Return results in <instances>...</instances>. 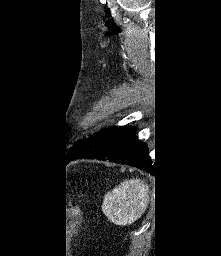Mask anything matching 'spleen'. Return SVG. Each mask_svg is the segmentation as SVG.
<instances>
[{
    "instance_id": "obj_1",
    "label": "spleen",
    "mask_w": 221,
    "mask_h": 256,
    "mask_svg": "<svg viewBox=\"0 0 221 256\" xmlns=\"http://www.w3.org/2000/svg\"><path fill=\"white\" fill-rule=\"evenodd\" d=\"M149 194L150 187L144 180L123 181L105 195L102 211L116 225L131 224L145 212Z\"/></svg>"
}]
</instances>
